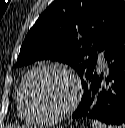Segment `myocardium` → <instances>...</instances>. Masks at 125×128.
Returning <instances> with one entry per match:
<instances>
[{
	"label": "myocardium",
	"instance_id": "f54148a6",
	"mask_svg": "<svg viewBox=\"0 0 125 128\" xmlns=\"http://www.w3.org/2000/svg\"><path fill=\"white\" fill-rule=\"evenodd\" d=\"M41 71H52L63 74L70 80L73 86L74 93L71 102L64 109H62L57 113H52V114L37 113L29 105L26 95L28 83L35 74ZM81 94H82V88L77 78L73 75V73L69 69L60 65L42 64L36 66L25 75V77L21 82V102L23 108L29 117H31L35 122H39V123H54L68 116L77 107L81 98Z\"/></svg>",
	"mask_w": 125,
	"mask_h": 128
}]
</instances>
